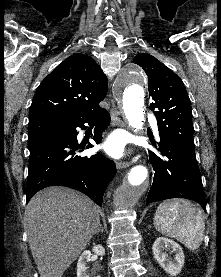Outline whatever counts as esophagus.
Instances as JSON below:
<instances>
[{"label":"esophagus","instance_id":"34e87169","mask_svg":"<svg viewBox=\"0 0 221 277\" xmlns=\"http://www.w3.org/2000/svg\"><path fill=\"white\" fill-rule=\"evenodd\" d=\"M111 118L114 126L126 127V121L121 116L120 110L117 108L115 102L112 100V107H111ZM129 166V162L125 161H117L116 167L117 169H123Z\"/></svg>","mask_w":221,"mask_h":277}]
</instances>
